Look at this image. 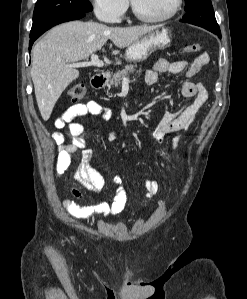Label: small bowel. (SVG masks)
Wrapping results in <instances>:
<instances>
[{"mask_svg":"<svg viewBox=\"0 0 247 299\" xmlns=\"http://www.w3.org/2000/svg\"><path fill=\"white\" fill-rule=\"evenodd\" d=\"M209 55L206 52L199 54L190 63L179 60L170 62L165 59L158 60L154 67L145 73V83L153 85L158 82L159 76L163 73L179 74L183 71L187 78H192L200 73L202 68L208 63ZM180 93L192 101L178 112L166 109L162 118L153 131V137L158 142H163L165 136L176 131H185L192 125L197 113L205 104L208 98V92L203 83H193L184 81L180 87ZM101 116L104 120L112 117L111 109L102 106L94 100L84 103H77L70 106L59 116L54 124L57 128L52 133V139L57 145L56 173L63 174L70 166L73 156L81 150V161L73 174V180L76 184L72 188L73 196L80 200L82 194L79 188H83L89 193H99L105 185L103 176L98 172L92 163V150L86 148V139L84 127L76 119L85 115ZM67 126L71 136V142L66 143V136L62 129ZM118 138L116 131H112L109 140L115 142ZM178 141V137L172 140V147ZM161 162V166H163ZM113 182L116 186L115 195L111 203L101 201L93 205H80L74 200L64 199L63 205L66 210L75 218L89 220L100 215L102 218L120 214L126 204L127 196L122 185L120 176L115 175ZM147 191V198H152L159 191V184L156 180L147 179L144 182Z\"/></svg>","mask_w":247,"mask_h":299,"instance_id":"obj_1","label":"small bowel"}]
</instances>
